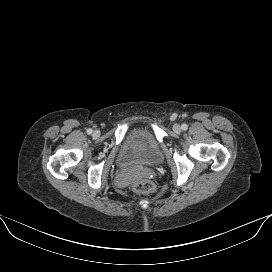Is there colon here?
I'll list each match as a JSON object with an SVG mask.
<instances>
[{
  "mask_svg": "<svg viewBox=\"0 0 272 272\" xmlns=\"http://www.w3.org/2000/svg\"><path fill=\"white\" fill-rule=\"evenodd\" d=\"M132 189L135 192L142 193L145 195H150L155 192V186L150 181L140 180L132 184Z\"/></svg>",
  "mask_w": 272,
  "mask_h": 272,
  "instance_id": "5ec220e1",
  "label": "colon"
}]
</instances>
